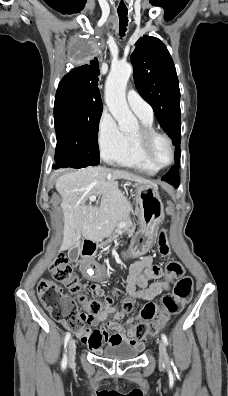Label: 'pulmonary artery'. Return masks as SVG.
I'll return each mask as SVG.
<instances>
[{
    "instance_id": "1",
    "label": "pulmonary artery",
    "mask_w": 228,
    "mask_h": 396,
    "mask_svg": "<svg viewBox=\"0 0 228 396\" xmlns=\"http://www.w3.org/2000/svg\"><path fill=\"white\" fill-rule=\"evenodd\" d=\"M128 105L137 115L153 118V109L141 95L134 89H130L126 95Z\"/></svg>"
}]
</instances>
